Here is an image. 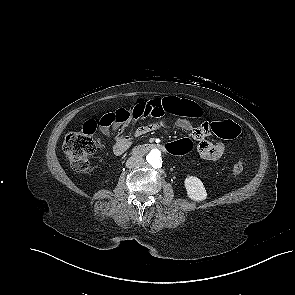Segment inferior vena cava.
<instances>
[{"instance_id":"602c4592","label":"inferior vena cava","mask_w":295,"mask_h":295,"mask_svg":"<svg viewBox=\"0 0 295 295\" xmlns=\"http://www.w3.org/2000/svg\"><path fill=\"white\" fill-rule=\"evenodd\" d=\"M144 164V159L139 156H131L127 162L126 167L127 168H137Z\"/></svg>"}]
</instances>
